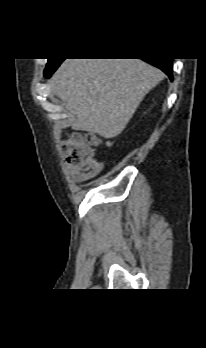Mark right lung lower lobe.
<instances>
[{
  "label": "right lung lower lobe",
  "instance_id": "obj_1",
  "mask_svg": "<svg viewBox=\"0 0 206 348\" xmlns=\"http://www.w3.org/2000/svg\"><path fill=\"white\" fill-rule=\"evenodd\" d=\"M144 61L158 67L159 69H161L163 72H165L170 80H173V76H172V60L173 59H167V58H162V59H158V58H149V59H143ZM63 60H59L57 62V64L46 68L44 71V75L46 78H49L53 72L57 69V67L61 64Z\"/></svg>",
  "mask_w": 206,
  "mask_h": 348
}]
</instances>
